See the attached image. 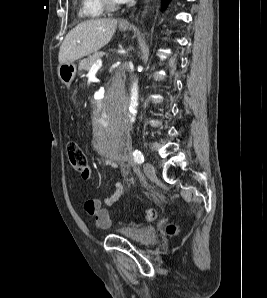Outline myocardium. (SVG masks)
<instances>
[{
  "mask_svg": "<svg viewBox=\"0 0 267 298\" xmlns=\"http://www.w3.org/2000/svg\"><path fill=\"white\" fill-rule=\"evenodd\" d=\"M104 9L107 11H114L118 9L119 7V2L116 0H101Z\"/></svg>",
  "mask_w": 267,
  "mask_h": 298,
  "instance_id": "obj_1",
  "label": "myocardium"
}]
</instances>
